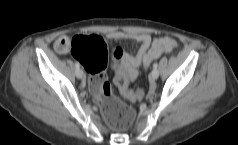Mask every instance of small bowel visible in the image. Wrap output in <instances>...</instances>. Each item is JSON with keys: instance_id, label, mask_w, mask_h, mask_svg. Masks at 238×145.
I'll return each mask as SVG.
<instances>
[{"instance_id": "1", "label": "small bowel", "mask_w": 238, "mask_h": 145, "mask_svg": "<svg viewBox=\"0 0 238 145\" xmlns=\"http://www.w3.org/2000/svg\"><path fill=\"white\" fill-rule=\"evenodd\" d=\"M72 38L73 37L68 36L59 37L54 43L55 51L60 54L67 53L69 51L73 53L70 47V42ZM109 38L114 40L132 39L141 43V46L136 55L125 53L123 54L119 62L113 65V68L115 70L123 68L128 78L131 81L135 80L139 75L138 68L142 63H144V56L148 52V49L151 45V36L146 33H125L121 31H114L109 34ZM160 39H166L169 41L168 46H166L163 52H170L178 47V43L172 38L162 37Z\"/></svg>"}]
</instances>
